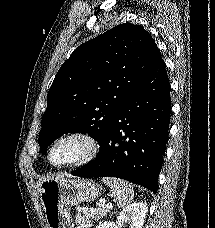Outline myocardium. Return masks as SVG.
I'll return each instance as SVG.
<instances>
[{
  "mask_svg": "<svg viewBox=\"0 0 215 228\" xmlns=\"http://www.w3.org/2000/svg\"><path fill=\"white\" fill-rule=\"evenodd\" d=\"M66 142L76 143L80 150L78 154L71 160L64 163L54 164L50 161L51 153L61 144ZM99 143L96 137L82 130H75L63 133L62 135L55 138L48 146L45 152V162L46 164L53 169H63L70 166L78 165L85 163L95 157L99 152Z\"/></svg>",
  "mask_w": 215,
  "mask_h": 228,
  "instance_id": "obj_1",
  "label": "myocardium"
}]
</instances>
